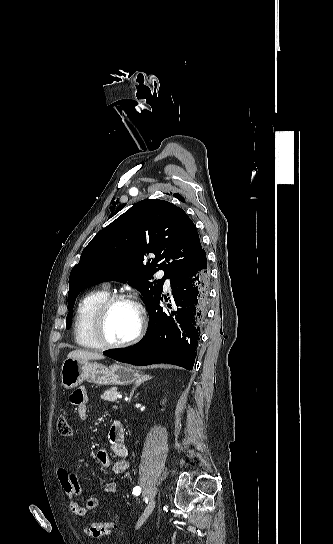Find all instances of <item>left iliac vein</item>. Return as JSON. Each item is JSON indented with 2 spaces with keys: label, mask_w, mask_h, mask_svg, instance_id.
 Segmentation results:
<instances>
[{
  "label": "left iliac vein",
  "mask_w": 333,
  "mask_h": 544,
  "mask_svg": "<svg viewBox=\"0 0 333 544\" xmlns=\"http://www.w3.org/2000/svg\"><path fill=\"white\" fill-rule=\"evenodd\" d=\"M155 505H156V501L155 500H152L150 502V504L146 507V509L144 510V512L142 513L141 517L139 518L138 522H137V525H136V528H139L145 521L146 519L149 517V515L152 513V511L154 510L155 508Z\"/></svg>",
  "instance_id": "1"
}]
</instances>
